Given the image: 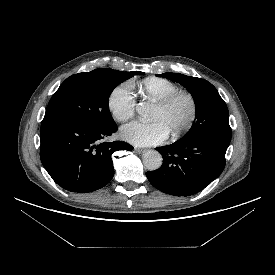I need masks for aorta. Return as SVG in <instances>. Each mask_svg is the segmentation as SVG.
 Returning <instances> with one entry per match:
<instances>
[{
    "mask_svg": "<svg viewBox=\"0 0 275 275\" xmlns=\"http://www.w3.org/2000/svg\"><path fill=\"white\" fill-rule=\"evenodd\" d=\"M152 111V106L148 103H141L137 107V112L142 119H147ZM162 156L156 150H148L143 154L144 166L150 170L154 171L160 168L162 165Z\"/></svg>",
    "mask_w": 275,
    "mask_h": 275,
    "instance_id": "1",
    "label": "aorta"
}]
</instances>
